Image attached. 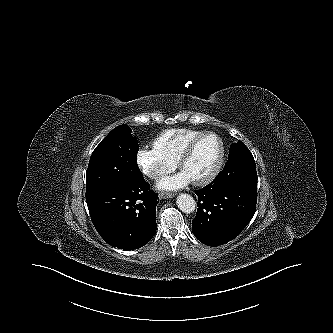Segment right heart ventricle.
I'll return each instance as SVG.
<instances>
[{
    "label": "right heart ventricle",
    "instance_id": "1",
    "mask_svg": "<svg viewBox=\"0 0 333 333\" xmlns=\"http://www.w3.org/2000/svg\"><path fill=\"white\" fill-rule=\"evenodd\" d=\"M203 131L193 129H170L162 132L153 142L154 149L177 162L187 144Z\"/></svg>",
    "mask_w": 333,
    "mask_h": 333
}]
</instances>
